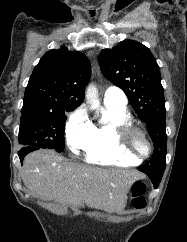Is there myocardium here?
Instances as JSON below:
<instances>
[{
    "label": "myocardium",
    "instance_id": "myocardium-1",
    "mask_svg": "<svg viewBox=\"0 0 187 242\" xmlns=\"http://www.w3.org/2000/svg\"><path fill=\"white\" fill-rule=\"evenodd\" d=\"M135 133L140 134L147 143L148 151L145 155H136L129 146V138ZM114 135L117 147L124 155L135 158L138 162H142L151 155L153 146L150 139L148 138L146 132L132 121H124L118 124L115 127Z\"/></svg>",
    "mask_w": 187,
    "mask_h": 242
}]
</instances>
